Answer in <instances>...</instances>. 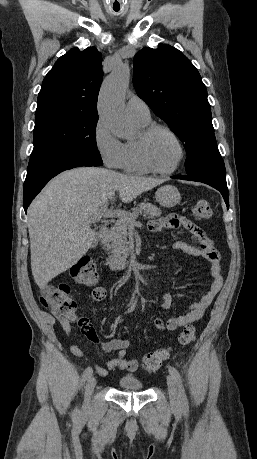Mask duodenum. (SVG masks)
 Listing matches in <instances>:
<instances>
[{"instance_id":"obj_1","label":"duodenum","mask_w":257,"mask_h":459,"mask_svg":"<svg viewBox=\"0 0 257 459\" xmlns=\"http://www.w3.org/2000/svg\"><path fill=\"white\" fill-rule=\"evenodd\" d=\"M109 231V228L107 226L102 227L99 230V239L104 238L107 236ZM107 264L109 267H111L114 270L117 269H124L127 266L128 263V255L127 254H120V255H115L113 257L107 258L106 259Z\"/></svg>"}]
</instances>
